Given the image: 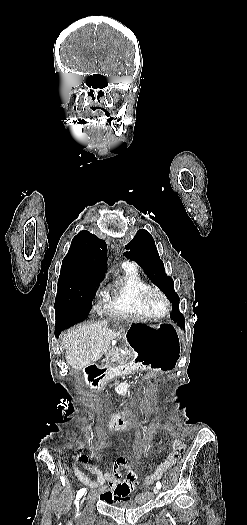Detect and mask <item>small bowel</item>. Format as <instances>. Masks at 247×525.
Masks as SVG:
<instances>
[{
	"label": "small bowel",
	"instance_id": "obj_1",
	"mask_svg": "<svg viewBox=\"0 0 247 525\" xmlns=\"http://www.w3.org/2000/svg\"><path fill=\"white\" fill-rule=\"evenodd\" d=\"M184 450V444L177 441L174 450L170 453L167 460L160 464L153 474L146 477L143 484L149 485L154 481L160 479L163 474L169 470L180 458ZM77 462L84 465L91 473L95 475V478L89 477L84 474L78 466L74 467V474L77 478L87 486L96 488L101 495V499L106 501L108 506H125L127 502L126 496L129 494L127 488H133V485L137 484V475L130 469L127 475V483L122 482L121 468L123 466L130 468V463L125 459H117L113 464V470L110 471L107 466L104 470H100L98 467L89 464V457L83 453V445L80 443L77 449ZM91 458L97 462H100L99 455V443L95 440V445L91 451ZM107 484V485H106Z\"/></svg>",
	"mask_w": 247,
	"mask_h": 525
}]
</instances>
